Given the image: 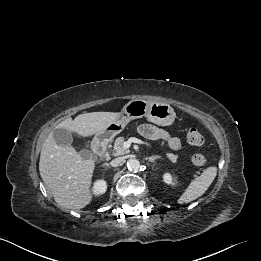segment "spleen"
I'll return each instance as SVG.
<instances>
[{"instance_id":"3e777b00","label":"spleen","mask_w":261,"mask_h":261,"mask_svg":"<svg viewBox=\"0 0 261 261\" xmlns=\"http://www.w3.org/2000/svg\"><path fill=\"white\" fill-rule=\"evenodd\" d=\"M217 175L216 167H208L200 176L195 177L185 192L178 199L179 204L189 203L202 196Z\"/></svg>"}]
</instances>
